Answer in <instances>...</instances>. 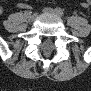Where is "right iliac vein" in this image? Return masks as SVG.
<instances>
[{"label":"right iliac vein","mask_w":91,"mask_h":91,"mask_svg":"<svg viewBox=\"0 0 91 91\" xmlns=\"http://www.w3.org/2000/svg\"><path fill=\"white\" fill-rule=\"evenodd\" d=\"M25 17H26V19H27L28 22H32L35 19V15L31 14V13L25 15Z\"/></svg>","instance_id":"1"}]
</instances>
